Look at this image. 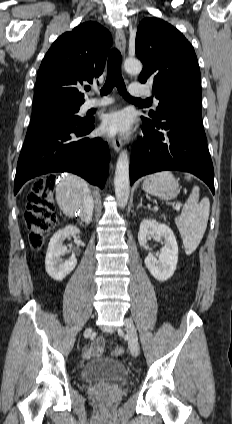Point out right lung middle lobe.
Here are the masks:
<instances>
[{
  "mask_svg": "<svg viewBox=\"0 0 232 424\" xmlns=\"http://www.w3.org/2000/svg\"><path fill=\"white\" fill-rule=\"evenodd\" d=\"M80 105L69 106L61 104H50L33 108L31 115V123H49V122H68L81 124L87 121L85 118H80L76 115Z\"/></svg>",
  "mask_w": 232,
  "mask_h": 424,
  "instance_id": "dd1d6c3e",
  "label": "right lung middle lobe"
}]
</instances>
